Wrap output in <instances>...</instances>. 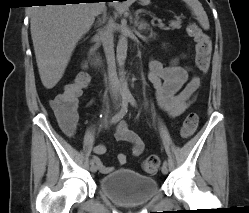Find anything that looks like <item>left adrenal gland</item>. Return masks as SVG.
I'll use <instances>...</instances> for the list:
<instances>
[{"instance_id":"obj_1","label":"left adrenal gland","mask_w":249,"mask_h":213,"mask_svg":"<svg viewBox=\"0 0 249 213\" xmlns=\"http://www.w3.org/2000/svg\"><path fill=\"white\" fill-rule=\"evenodd\" d=\"M135 26L138 27L139 31L150 29L149 24L147 22L139 21V16L138 15L136 16V19H135Z\"/></svg>"}]
</instances>
